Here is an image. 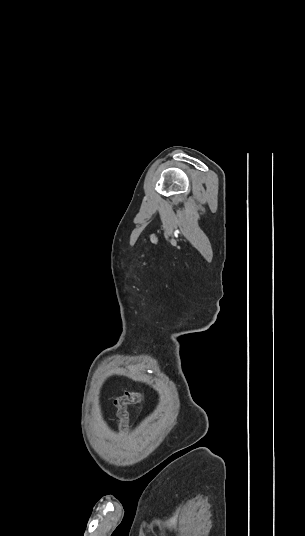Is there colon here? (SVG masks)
I'll use <instances>...</instances> for the list:
<instances>
[{"mask_svg": "<svg viewBox=\"0 0 305 536\" xmlns=\"http://www.w3.org/2000/svg\"><path fill=\"white\" fill-rule=\"evenodd\" d=\"M143 398V392L141 390H127L122 395L117 396L114 399V406L116 408L118 429L124 430L128 421V406L135 404Z\"/></svg>", "mask_w": 305, "mask_h": 536, "instance_id": "colon-1", "label": "colon"}]
</instances>
